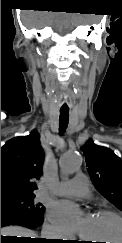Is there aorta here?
Listing matches in <instances>:
<instances>
[{"label": "aorta", "instance_id": "aorta-1", "mask_svg": "<svg viewBox=\"0 0 122 243\" xmlns=\"http://www.w3.org/2000/svg\"><path fill=\"white\" fill-rule=\"evenodd\" d=\"M81 157L72 151L65 152L60 160V170L64 175H72L80 169Z\"/></svg>", "mask_w": 122, "mask_h": 243}]
</instances>
